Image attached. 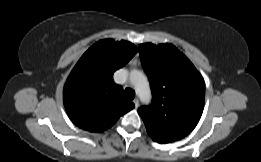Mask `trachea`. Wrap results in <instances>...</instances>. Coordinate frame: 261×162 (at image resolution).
<instances>
[{
	"instance_id": "obj_1",
	"label": "trachea",
	"mask_w": 261,
	"mask_h": 162,
	"mask_svg": "<svg viewBox=\"0 0 261 162\" xmlns=\"http://www.w3.org/2000/svg\"><path fill=\"white\" fill-rule=\"evenodd\" d=\"M124 96L127 100H133L135 97V92L130 88H126L124 91Z\"/></svg>"
}]
</instances>
